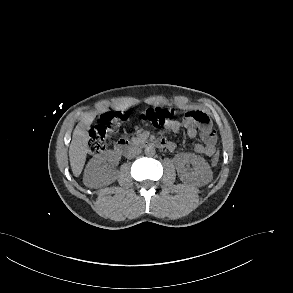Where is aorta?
<instances>
[{
    "mask_svg": "<svg viewBox=\"0 0 293 293\" xmlns=\"http://www.w3.org/2000/svg\"><path fill=\"white\" fill-rule=\"evenodd\" d=\"M144 153L147 156H154L155 153H156V149H155L154 146L148 145V146L145 147Z\"/></svg>",
    "mask_w": 293,
    "mask_h": 293,
    "instance_id": "aorta-1",
    "label": "aorta"
}]
</instances>
